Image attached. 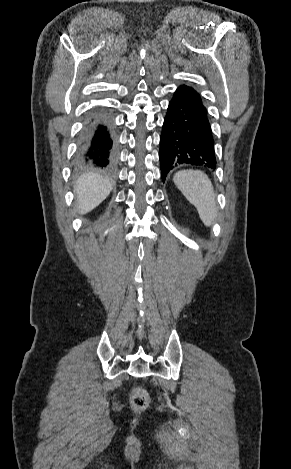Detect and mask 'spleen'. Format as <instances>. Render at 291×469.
<instances>
[{"label": "spleen", "instance_id": "obj_1", "mask_svg": "<svg viewBox=\"0 0 291 469\" xmlns=\"http://www.w3.org/2000/svg\"><path fill=\"white\" fill-rule=\"evenodd\" d=\"M173 182L195 206L202 222L208 227L212 226L218 209L213 185L208 176L200 170H181L173 176Z\"/></svg>", "mask_w": 291, "mask_h": 469}]
</instances>
